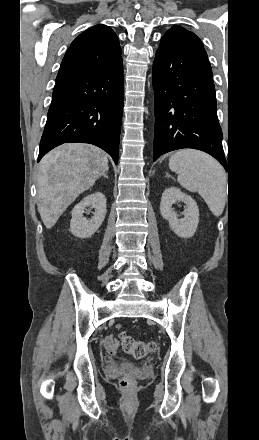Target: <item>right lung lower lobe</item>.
I'll return each mask as SVG.
<instances>
[{
	"label": "right lung lower lobe",
	"mask_w": 259,
	"mask_h": 440,
	"mask_svg": "<svg viewBox=\"0 0 259 440\" xmlns=\"http://www.w3.org/2000/svg\"><path fill=\"white\" fill-rule=\"evenodd\" d=\"M123 62L86 73L57 76L38 162L65 142L96 145L118 162L123 113Z\"/></svg>",
	"instance_id": "98d812e1"
}]
</instances>
